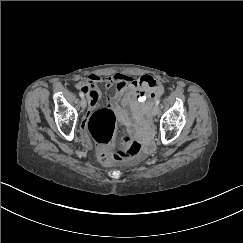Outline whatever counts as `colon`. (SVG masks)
Segmentation results:
<instances>
[{
  "instance_id": "obj_1",
  "label": "colon",
  "mask_w": 243,
  "mask_h": 243,
  "mask_svg": "<svg viewBox=\"0 0 243 243\" xmlns=\"http://www.w3.org/2000/svg\"><path fill=\"white\" fill-rule=\"evenodd\" d=\"M87 128L101 151L99 158L102 162L110 159L118 161H130L137 159L143 145L137 140H130L126 148L113 150L112 146L117 132V116L111 109L104 108L95 111L89 118Z\"/></svg>"
}]
</instances>
